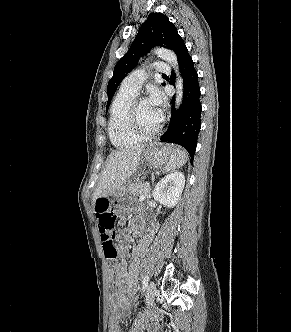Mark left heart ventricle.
Instances as JSON below:
<instances>
[{
    "mask_svg": "<svg viewBox=\"0 0 291 332\" xmlns=\"http://www.w3.org/2000/svg\"><path fill=\"white\" fill-rule=\"evenodd\" d=\"M138 118L140 126L147 131L155 129L160 123L157 112L147 100L139 103Z\"/></svg>",
    "mask_w": 291,
    "mask_h": 332,
    "instance_id": "b2bd125f",
    "label": "left heart ventricle"
}]
</instances>
